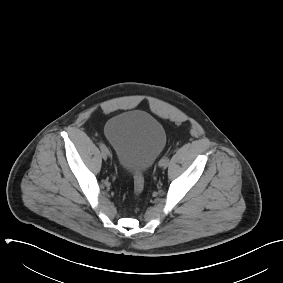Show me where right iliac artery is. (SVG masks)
Listing matches in <instances>:
<instances>
[{
    "label": "right iliac artery",
    "instance_id": "right-iliac-artery-1",
    "mask_svg": "<svg viewBox=\"0 0 283 283\" xmlns=\"http://www.w3.org/2000/svg\"><path fill=\"white\" fill-rule=\"evenodd\" d=\"M100 149H101L102 151H104V152L109 153L107 147H106L103 143H100Z\"/></svg>",
    "mask_w": 283,
    "mask_h": 283
}]
</instances>
